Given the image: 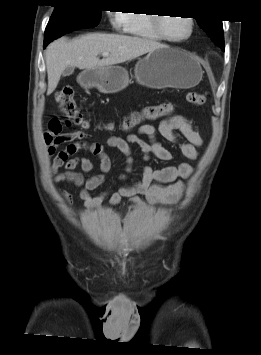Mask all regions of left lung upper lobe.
Returning <instances> with one entry per match:
<instances>
[{"mask_svg": "<svg viewBox=\"0 0 261 355\" xmlns=\"http://www.w3.org/2000/svg\"><path fill=\"white\" fill-rule=\"evenodd\" d=\"M199 26L207 33L212 41L224 50V35L221 20L196 18Z\"/></svg>", "mask_w": 261, "mask_h": 355, "instance_id": "1", "label": "left lung upper lobe"}]
</instances>
